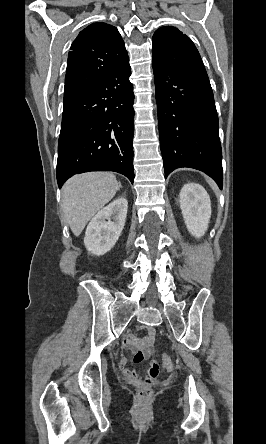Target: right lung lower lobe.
Segmentation results:
<instances>
[{"instance_id":"98d812e1","label":"right lung lower lobe","mask_w":266,"mask_h":444,"mask_svg":"<svg viewBox=\"0 0 266 444\" xmlns=\"http://www.w3.org/2000/svg\"><path fill=\"white\" fill-rule=\"evenodd\" d=\"M129 58L105 79L64 104L57 182L88 171H115L133 183L134 94Z\"/></svg>"}]
</instances>
